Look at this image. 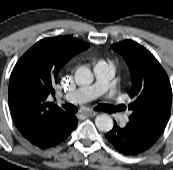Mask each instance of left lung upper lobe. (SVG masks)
Wrapping results in <instances>:
<instances>
[{
	"label": "left lung upper lobe",
	"instance_id": "obj_1",
	"mask_svg": "<svg viewBox=\"0 0 173 170\" xmlns=\"http://www.w3.org/2000/svg\"><path fill=\"white\" fill-rule=\"evenodd\" d=\"M112 48L123 56L131 73L129 124L157 140L170 118L172 89L168 76L157 59L138 43L125 40Z\"/></svg>",
	"mask_w": 173,
	"mask_h": 170
}]
</instances>
